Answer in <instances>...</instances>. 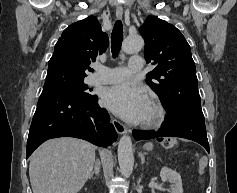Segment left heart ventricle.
Returning <instances> with one entry per match:
<instances>
[{
    "label": "left heart ventricle",
    "instance_id": "obj_1",
    "mask_svg": "<svg viewBox=\"0 0 237 193\" xmlns=\"http://www.w3.org/2000/svg\"><path fill=\"white\" fill-rule=\"evenodd\" d=\"M151 114H152V107H151V105H149V107H148V109H147V111H146V114H145L144 119L150 117Z\"/></svg>",
    "mask_w": 237,
    "mask_h": 193
}]
</instances>
